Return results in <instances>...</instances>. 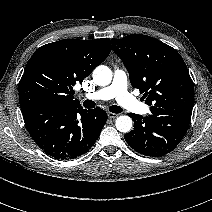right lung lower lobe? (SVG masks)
I'll use <instances>...</instances> for the list:
<instances>
[{
  "label": "right lung lower lobe",
  "mask_w": 212,
  "mask_h": 212,
  "mask_svg": "<svg viewBox=\"0 0 212 212\" xmlns=\"http://www.w3.org/2000/svg\"><path fill=\"white\" fill-rule=\"evenodd\" d=\"M27 130L36 144L57 160L77 158L95 144L107 121L101 108L47 105L23 113Z\"/></svg>",
  "instance_id": "98d812e1"
}]
</instances>
